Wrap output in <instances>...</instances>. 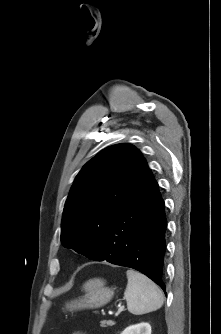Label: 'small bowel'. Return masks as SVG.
<instances>
[{"instance_id": "c3829d8e", "label": "small bowel", "mask_w": 221, "mask_h": 334, "mask_svg": "<svg viewBox=\"0 0 221 334\" xmlns=\"http://www.w3.org/2000/svg\"><path fill=\"white\" fill-rule=\"evenodd\" d=\"M73 334H84V333H82V332H75V333H73Z\"/></svg>"}]
</instances>
